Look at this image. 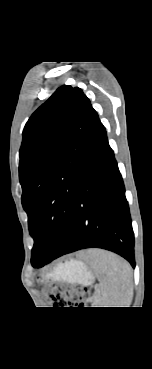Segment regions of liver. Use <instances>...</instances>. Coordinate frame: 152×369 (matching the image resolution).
Returning <instances> with one entry per match:
<instances>
[{
    "mask_svg": "<svg viewBox=\"0 0 152 369\" xmlns=\"http://www.w3.org/2000/svg\"><path fill=\"white\" fill-rule=\"evenodd\" d=\"M90 252H91V250L87 251V253H86V256H87V257H89V256H90Z\"/></svg>",
    "mask_w": 152,
    "mask_h": 369,
    "instance_id": "liver-1",
    "label": "liver"
}]
</instances>
